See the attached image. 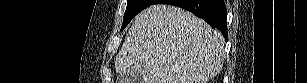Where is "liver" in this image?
I'll return each instance as SVG.
<instances>
[{
    "instance_id": "1",
    "label": "liver",
    "mask_w": 307,
    "mask_h": 83,
    "mask_svg": "<svg viewBox=\"0 0 307 83\" xmlns=\"http://www.w3.org/2000/svg\"><path fill=\"white\" fill-rule=\"evenodd\" d=\"M220 31L177 6L152 5L139 13L116 57V72L142 83H208L223 66Z\"/></svg>"
}]
</instances>
